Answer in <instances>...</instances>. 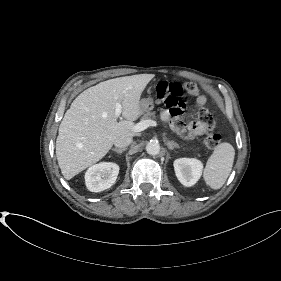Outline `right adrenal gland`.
Masks as SVG:
<instances>
[{
    "instance_id": "right-adrenal-gland-1",
    "label": "right adrenal gland",
    "mask_w": 281,
    "mask_h": 281,
    "mask_svg": "<svg viewBox=\"0 0 281 281\" xmlns=\"http://www.w3.org/2000/svg\"><path fill=\"white\" fill-rule=\"evenodd\" d=\"M126 149H117V148H113L112 151L117 152L118 154H121L122 152H124Z\"/></svg>"
}]
</instances>
